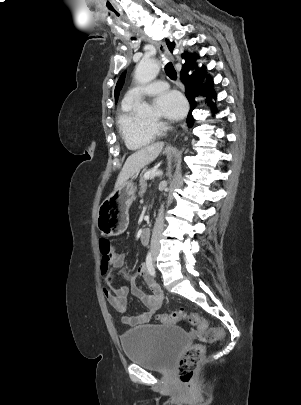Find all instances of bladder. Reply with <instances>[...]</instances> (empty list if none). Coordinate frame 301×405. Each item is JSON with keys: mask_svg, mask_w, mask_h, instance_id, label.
I'll use <instances>...</instances> for the list:
<instances>
[{"mask_svg": "<svg viewBox=\"0 0 301 405\" xmlns=\"http://www.w3.org/2000/svg\"><path fill=\"white\" fill-rule=\"evenodd\" d=\"M126 358L148 370L166 373L188 344L185 330L169 325H144L121 336Z\"/></svg>", "mask_w": 301, "mask_h": 405, "instance_id": "1", "label": "bladder"}]
</instances>
